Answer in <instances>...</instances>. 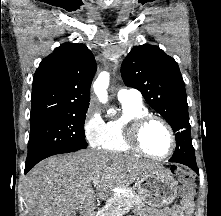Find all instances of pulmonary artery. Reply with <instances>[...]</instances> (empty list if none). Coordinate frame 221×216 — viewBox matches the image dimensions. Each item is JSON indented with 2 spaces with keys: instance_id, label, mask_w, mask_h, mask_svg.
Returning <instances> with one entry per match:
<instances>
[{
  "instance_id": "1",
  "label": "pulmonary artery",
  "mask_w": 221,
  "mask_h": 216,
  "mask_svg": "<svg viewBox=\"0 0 221 216\" xmlns=\"http://www.w3.org/2000/svg\"><path fill=\"white\" fill-rule=\"evenodd\" d=\"M117 97L119 101H140L141 93L135 89H121Z\"/></svg>"
}]
</instances>
